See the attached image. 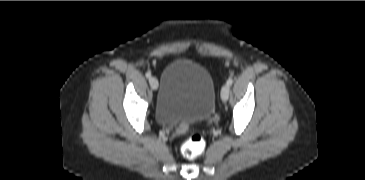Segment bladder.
<instances>
[{
    "label": "bladder",
    "instance_id": "obj_1",
    "mask_svg": "<svg viewBox=\"0 0 365 180\" xmlns=\"http://www.w3.org/2000/svg\"><path fill=\"white\" fill-rule=\"evenodd\" d=\"M215 101L216 85L209 71L196 61L178 59L163 71L154 116L165 126L204 121L213 114Z\"/></svg>",
    "mask_w": 365,
    "mask_h": 180
}]
</instances>
